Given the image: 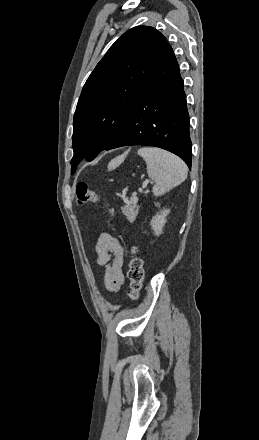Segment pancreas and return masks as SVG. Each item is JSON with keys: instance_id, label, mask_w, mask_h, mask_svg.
<instances>
[{"instance_id": "cf45deb5", "label": "pancreas", "mask_w": 259, "mask_h": 440, "mask_svg": "<svg viewBox=\"0 0 259 440\" xmlns=\"http://www.w3.org/2000/svg\"><path fill=\"white\" fill-rule=\"evenodd\" d=\"M123 214L127 217L128 220L130 221H134L138 211H139V206L137 205V202L134 203L132 202V197L130 199V201L121 207Z\"/></svg>"}]
</instances>
